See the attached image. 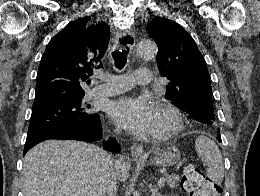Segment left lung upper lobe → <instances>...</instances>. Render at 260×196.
Segmentation results:
<instances>
[{
  "label": "left lung upper lobe",
  "instance_id": "1",
  "mask_svg": "<svg viewBox=\"0 0 260 196\" xmlns=\"http://www.w3.org/2000/svg\"><path fill=\"white\" fill-rule=\"evenodd\" d=\"M147 32L158 45L156 57L159 72L169 80L166 99L190 115L196 106L212 107V87L205 60L193 38L178 23L165 17H154ZM217 127L216 119L204 123Z\"/></svg>",
  "mask_w": 260,
  "mask_h": 196
}]
</instances>
